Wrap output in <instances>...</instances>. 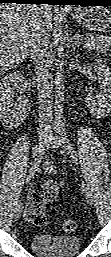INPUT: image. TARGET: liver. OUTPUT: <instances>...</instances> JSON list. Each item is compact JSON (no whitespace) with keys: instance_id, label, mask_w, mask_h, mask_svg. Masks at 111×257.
I'll return each mask as SVG.
<instances>
[{"instance_id":"liver-1","label":"liver","mask_w":111,"mask_h":257,"mask_svg":"<svg viewBox=\"0 0 111 257\" xmlns=\"http://www.w3.org/2000/svg\"><path fill=\"white\" fill-rule=\"evenodd\" d=\"M38 26L47 32L52 27L48 5L0 6V70L2 73L20 64L28 55Z\"/></svg>"}]
</instances>
